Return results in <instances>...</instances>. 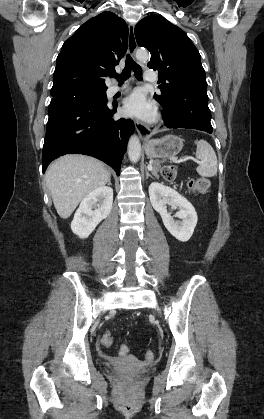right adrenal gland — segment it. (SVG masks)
<instances>
[{
	"label": "right adrenal gland",
	"mask_w": 264,
	"mask_h": 419,
	"mask_svg": "<svg viewBox=\"0 0 264 419\" xmlns=\"http://www.w3.org/2000/svg\"><path fill=\"white\" fill-rule=\"evenodd\" d=\"M108 185H111V181L110 180L108 181Z\"/></svg>",
	"instance_id": "1"
}]
</instances>
